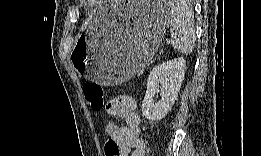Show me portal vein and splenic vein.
<instances>
[{"mask_svg": "<svg viewBox=\"0 0 261 156\" xmlns=\"http://www.w3.org/2000/svg\"><path fill=\"white\" fill-rule=\"evenodd\" d=\"M166 42H167V44H169V43H170V40L167 39Z\"/></svg>", "mask_w": 261, "mask_h": 156, "instance_id": "18ae733b", "label": "portal vein and splenic vein"}]
</instances>
